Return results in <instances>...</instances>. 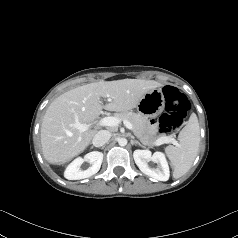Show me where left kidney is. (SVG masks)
Instances as JSON below:
<instances>
[{
    "mask_svg": "<svg viewBox=\"0 0 238 238\" xmlns=\"http://www.w3.org/2000/svg\"><path fill=\"white\" fill-rule=\"evenodd\" d=\"M133 157L138 168L146 175L159 181H167L170 176L169 166L165 155L162 152H155L153 155L149 150H135ZM157 164L151 168L148 162Z\"/></svg>",
    "mask_w": 238,
    "mask_h": 238,
    "instance_id": "obj_1",
    "label": "left kidney"
}]
</instances>
